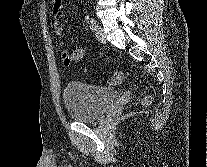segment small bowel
Masks as SVG:
<instances>
[{
	"label": "small bowel",
	"mask_w": 207,
	"mask_h": 167,
	"mask_svg": "<svg viewBox=\"0 0 207 167\" xmlns=\"http://www.w3.org/2000/svg\"><path fill=\"white\" fill-rule=\"evenodd\" d=\"M62 1L63 0H53V19H52V28L53 32L57 37H60L63 32V26L60 23L57 15L62 7ZM61 60L64 66L69 67L71 66L74 62L79 61L83 59L88 51L87 47H76L72 50H67L64 47V42H61Z\"/></svg>",
	"instance_id": "c3829d8e"
}]
</instances>
